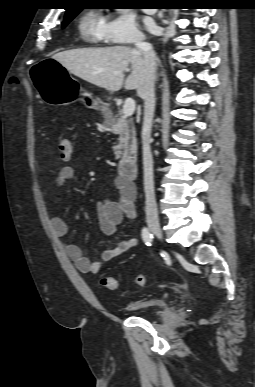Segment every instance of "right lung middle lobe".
I'll list each match as a JSON object with an SVG mask.
<instances>
[{
  "mask_svg": "<svg viewBox=\"0 0 255 387\" xmlns=\"http://www.w3.org/2000/svg\"><path fill=\"white\" fill-rule=\"evenodd\" d=\"M81 10L79 7H75L73 9H70L69 11L66 12L63 25L62 27L64 28Z\"/></svg>",
  "mask_w": 255,
  "mask_h": 387,
  "instance_id": "1",
  "label": "right lung middle lobe"
}]
</instances>
